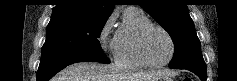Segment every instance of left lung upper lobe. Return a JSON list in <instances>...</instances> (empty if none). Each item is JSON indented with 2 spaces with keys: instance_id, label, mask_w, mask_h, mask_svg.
I'll return each mask as SVG.
<instances>
[{
  "instance_id": "5c2ea615",
  "label": "left lung upper lobe",
  "mask_w": 237,
  "mask_h": 81,
  "mask_svg": "<svg viewBox=\"0 0 237 81\" xmlns=\"http://www.w3.org/2000/svg\"><path fill=\"white\" fill-rule=\"evenodd\" d=\"M171 36L175 52L169 67L206 69L194 23L183 0H140L139 4Z\"/></svg>"
}]
</instances>
